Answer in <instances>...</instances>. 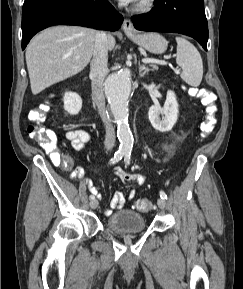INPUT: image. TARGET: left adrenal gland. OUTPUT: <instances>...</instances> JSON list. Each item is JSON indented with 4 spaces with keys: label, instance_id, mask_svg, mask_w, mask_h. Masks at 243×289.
<instances>
[{
    "label": "left adrenal gland",
    "instance_id": "a2214340",
    "mask_svg": "<svg viewBox=\"0 0 243 289\" xmlns=\"http://www.w3.org/2000/svg\"><path fill=\"white\" fill-rule=\"evenodd\" d=\"M150 71H153V69L146 67L144 64H139V73L141 77H144Z\"/></svg>",
    "mask_w": 243,
    "mask_h": 289
}]
</instances>
